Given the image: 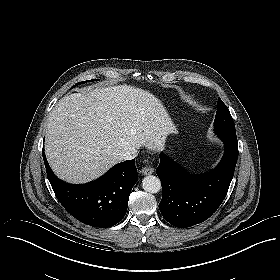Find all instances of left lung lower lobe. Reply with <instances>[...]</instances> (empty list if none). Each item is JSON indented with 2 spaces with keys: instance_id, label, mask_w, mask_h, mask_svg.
<instances>
[{
  "instance_id": "left-lung-lower-lobe-1",
  "label": "left lung lower lobe",
  "mask_w": 280,
  "mask_h": 280,
  "mask_svg": "<svg viewBox=\"0 0 280 280\" xmlns=\"http://www.w3.org/2000/svg\"><path fill=\"white\" fill-rule=\"evenodd\" d=\"M224 155L216 168L191 176L165 154L160 153L156 173L162 183V216L178 228L207 220L221 205L232 181L238 159V142L221 138Z\"/></svg>"
}]
</instances>
